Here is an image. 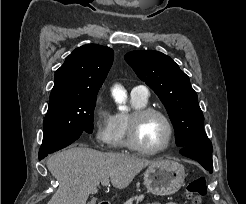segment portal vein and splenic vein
<instances>
[{
  "mask_svg": "<svg viewBox=\"0 0 246 204\" xmlns=\"http://www.w3.org/2000/svg\"><path fill=\"white\" fill-rule=\"evenodd\" d=\"M101 184H102L103 186L109 185V179H103V180L101 181Z\"/></svg>",
  "mask_w": 246,
  "mask_h": 204,
  "instance_id": "18ae733b",
  "label": "portal vein and splenic vein"
}]
</instances>
